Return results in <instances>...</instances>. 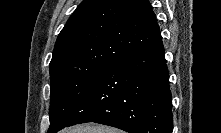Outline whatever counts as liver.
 Instances as JSON below:
<instances>
[{
    "label": "liver",
    "instance_id": "1",
    "mask_svg": "<svg viewBox=\"0 0 221 133\" xmlns=\"http://www.w3.org/2000/svg\"><path fill=\"white\" fill-rule=\"evenodd\" d=\"M63 133H122L120 130L104 125L83 124L70 129H65Z\"/></svg>",
    "mask_w": 221,
    "mask_h": 133
}]
</instances>
